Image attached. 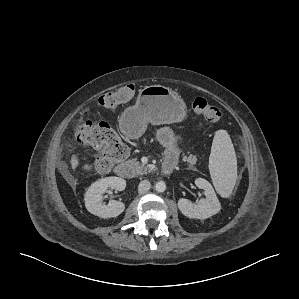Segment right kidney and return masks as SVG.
<instances>
[{
  "instance_id": "1",
  "label": "right kidney",
  "mask_w": 299,
  "mask_h": 299,
  "mask_svg": "<svg viewBox=\"0 0 299 299\" xmlns=\"http://www.w3.org/2000/svg\"><path fill=\"white\" fill-rule=\"evenodd\" d=\"M125 187L126 181L119 177L112 176L97 180L91 184L84 195L86 209L100 218L117 217L125 210L124 203L111 200L105 204L102 195L107 188L122 191Z\"/></svg>"
}]
</instances>
